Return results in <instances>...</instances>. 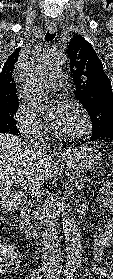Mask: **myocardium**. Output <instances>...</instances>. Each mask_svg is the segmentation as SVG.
I'll return each instance as SVG.
<instances>
[{
	"label": "myocardium",
	"mask_w": 113,
	"mask_h": 279,
	"mask_svg": "<svg viewBox=\"0 0 113 279\" xmlns=\"http://www.w3.org/2000/svg\"><path fill=\"white\" fill-rule=\"evenodd\" d=\"M69 105L75 110L78 115V127L76 131L69 133V134H60L57 133L60 138L66 140H74L83 137L87 134L90 128V122L85 110L82 106L74 101H71Z\"/></svg>",
	"instance_id": "f54148a6"
}]
</instances>
